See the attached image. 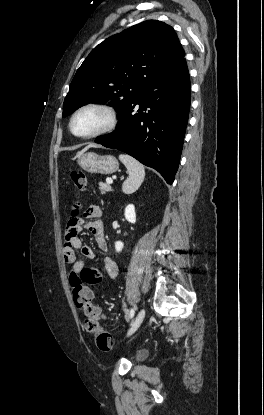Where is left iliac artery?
<instances>
[{"instance_id":"left-iliac-artery-1","label":"left iliac artery","mask_w":264,"mask_h":415,"mask_svg":"<svg viewBox=\"0 0 264 415\" xmlns=\"http://www.w3.org/2000/svg\"><path fill=\"white\" fill-rule=\"evenodd\" d=\"M134 314H135V310H134V308H132V309L130 310V312H129V316H130V318H133V317H134Z\"/></svg>"}]
</instances>
